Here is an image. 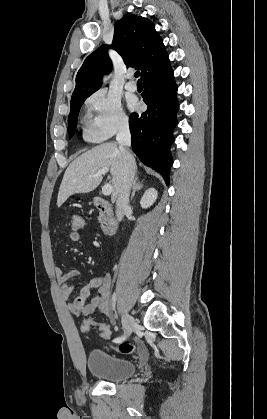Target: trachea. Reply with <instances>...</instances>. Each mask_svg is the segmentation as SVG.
I'll return each instance as SVG.
<instances>
[{
    "label": "trachea",
    "mask_w": 267,
    "mask_h": 419,
    "mask_svg": "<svg viewBox=\"0 0 267 419\" xmlns=\"http://www.w3.org/2000/svg\"><path fill=\"white\" fill-rule=\"evenodd\" d=\"M134 76H135L136 78H138V77H139V71H136V72L134 73Z\"/></svg>",
    "instance_id": "obj_1"
}]
</instances>
